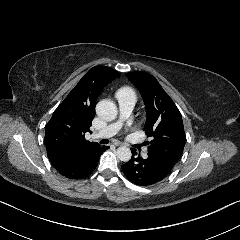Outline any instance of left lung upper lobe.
<instances>
[{"instance_id": "5c2ea615", "label": "left lung upper lobe", "mask_w": 240, "mask_h": 240, "mask_svg": "<svg viewBox=\"0 0 240 240\" xmlns=\"http://www.w3.org/2000/svg\"><path fill=\"white\" fill-rule=\"evenodd\" d=\"M128 79L139 89L147 111L144 131L153 139L148 142V152L175 164L185 146L182 116L173 100L159 82L145 72H129Z\"/></svg>"}]
</instances>
